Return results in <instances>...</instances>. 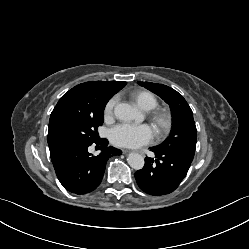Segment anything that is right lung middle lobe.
<instances>
[{
	"label": "right lung middle lobe",
	"instance_id": "dd1d6c3e",
	"mask_svg": "<svg viewBox=\"0 0 249 249\" xmlns=\"http://www.w3.org/2000/svg\"><path fill=\"white\" fill-rule=\"evenodd\" d=\"M106 102L92 115L72 118L63 123L60 134L67 149L91 144L98 140L97 128L102 125Z\"/></svg>",
	"mask_w": 249,
	"mask_h": 249
}]
</instances>
